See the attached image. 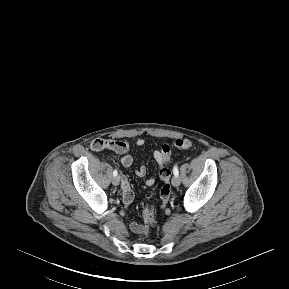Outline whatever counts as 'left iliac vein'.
Listing matches in <instances>:
<instances>
[{
    "instance_id": "obj_1",
    "label": "left iliac vein",
    "mask_w": 289,
    "mask_h": 289,
    "mask_svg": "<svg viewBox=\"0 0 289 289\" xmlns=\"http://www.w3.org/2000/svg\"><path fill=\"white\" fill-rule=\"evenodd\" d=\"M180 183H181V180H180V177H179V176H174V177L172 178V185H173L174 187H178V186L180 185Z\"/></svg>"
}]
</instances>
